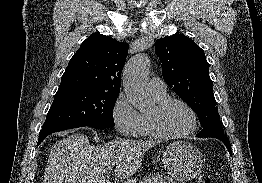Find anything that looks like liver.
<instances>
[{
    "label": "liver",
    "mask_w": 262,
    "mask_h": 183,
    "mask_svg": "<svg viewBox=\"0 0 262 183\" xmlns=\"http://www.w3.org/2000/svg\"><path fill=\"white\" fill-rule=\"evenodd\" d=\"M157 143L117 138L92 146L86 135L72 134L51 148L44 183H110L104 173L112 167L118 178H128L141 166L144 153Z\"/></svg>",
    "instance_id": "obj_1"
}]
</instances>
